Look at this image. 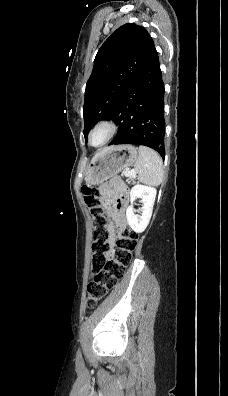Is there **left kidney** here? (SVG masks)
Returning <instances> with one entry per match:
<instances>
[{
    "label": "left kidney",
    "instance_id": "obj_1",
    "mask_svg": "<svg viewBox=\"0 0 228 396\" xmlns=\"http://www.w3.org/2000/svg\"><path fill=\"white\" fill-rule=\"evenodd\" d=\"M156 189L150 186L136 184L130 191L131 205L126 210V218L129 226L136 233L143 232L149 224L156 198ZM137 198L143 203L141 215L135 214L133 204Z\"/></svg>",
    "mask_w": 228,
    "mask_h": 396
}]
</instances>
